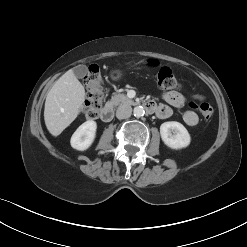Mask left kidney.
<instances>
[{
	"mask_svg": "<svg viewBox=\"0 0 247 247\" xmlns=\"http://www.w3.org/2000/svg\"><path fill=\"white\" fill-rule=\"evenodd\" d=\"M172 132L174 134H172ZM162 141L171 149H182L190 144L191 137L187 129L179 122H164L160 126Z\"/></svg>",
	"mask_w": 247,
	"mask_h": 247,
	"instance_id": "left-kidney-1",
	"label": "left kidney"
}]
</instances>
